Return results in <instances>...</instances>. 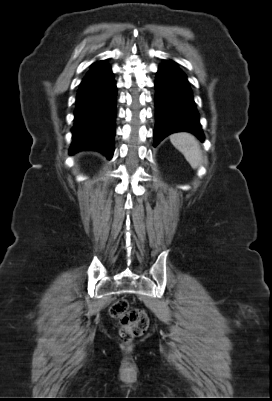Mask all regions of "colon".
Listing matches in <instances>:
<instances>
[{
	"label": "colon",
	"mask_w": 272,
	"mask_h": 401,
	"mask_svg": "<svg viewBox=\"0 0 272 401\" xmlns=\"http://www.w3.org/2000/svg\"><path fill=\"white\" fill-rule=\"evenodd\" d=\"M111 317L120 320V339L130 343L134 338L145 333L149 325L146 312L139 308H130L126 299L116 300L110 307Z\"/></svg>",
	"instance_id": "1"
}]
</instances>
